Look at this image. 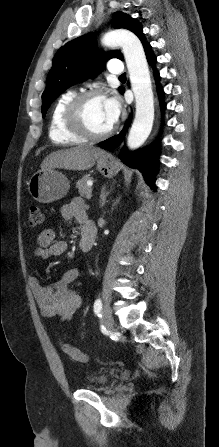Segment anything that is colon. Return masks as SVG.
<instances>
[{"label": "colon", "instance_id": "1", "mask_svg": "<svg viewBox=\"0 0 219 447\" xmlns=\"http://www.w3.org/2000/svg\"><path fill=\"white\" fill-rule=\"evenodd\" d=\"M42 223V212L37 204H31L29 207V225L31 227H37ZM62 351L73 361L83 363L86 361L85 354L78 348L67 344L61 343Z\"/></svg>", "mask_w": 219, "mask_h": 447}]
</instances>
